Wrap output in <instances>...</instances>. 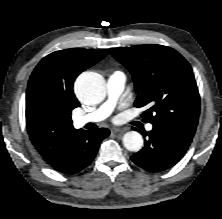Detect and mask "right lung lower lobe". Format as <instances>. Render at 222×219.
I'll return each instance as SVG.
<instances>
[{
	"label": "right lung lower lobe",
	"instance_id": "98d812e1",
	"mask_svg": "<svg viewBox=\"0 0 222 219\" xmlns=\"http://www.w3.org/2000/svg\"><path fill=\"white\" fill-rule=\"evenodd\" d=\"M109 134L110 131L106 128L79 131L70 139L60 157L51 166L65 174L81 171L93 161L100 143Z\"/></svg>",
	"mask_w": 222,
	"mask_h": 219
}]
</instances>
